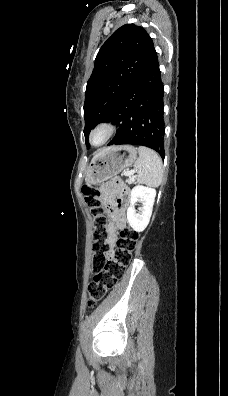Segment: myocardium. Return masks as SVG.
I'll use <instances>...</instances> for the list:
<instances>
[{
	"label": "myocardium",
	"instance_id": "1",
	"mask_svg": "<svg viewBox=\"0 0 228 396\" xmlns=\"http://www.w3.org/2000/svg\"><path fill=\"white\" fill-rule=\"evenodd\" d=\"M101 132L103 138L100 142L96 143L94 137L97 133ZM116 132V126L109 120H102L98 122L91 130L89 134V143L93 147L99 148L106 145L114 136Z\"/></svg>",
	"mask_w": 228,
	"mask_h": 396
}]
</instances>
